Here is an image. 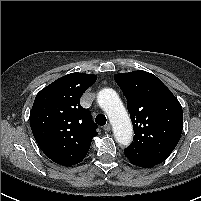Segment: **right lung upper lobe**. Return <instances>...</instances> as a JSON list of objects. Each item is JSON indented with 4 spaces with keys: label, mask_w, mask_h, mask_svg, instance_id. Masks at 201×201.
<instances>
[{
    "label": "right lung upper lobe",
    "mask_w": 201,
    "mask_h": 201,
    "mask_svg": "<svg viewBox=\"0 0 201 201\" xmlns=\"http://www.w3.org/2000/svg\"><path fill=\"white\" fill-rule=\"evenodd\" d=\"M96 80L93 74L71 73L42 89L34 100L32 133L44 154L60 165L80 163L98 134L89 110L79 104Z\"/></svg>",
    "instance_id": "cb5924a9"
}]
</instances>
